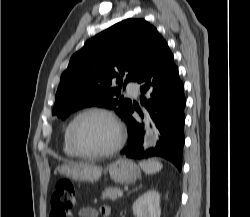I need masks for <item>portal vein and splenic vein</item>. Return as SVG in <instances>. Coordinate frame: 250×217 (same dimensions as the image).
<instances>
[{
    "label": "portal vein and splenic vein",
    "instance_id": "obj_1",
    "mask_svg": "<svg viewBox=\"0 0 250 217\" xmlns=\"http://www.w3.org/2000/svg\"><path fill=\"white\" fill-rule=\"evenodd\" d=\"M123 195V192L122 191H120L119 193H118V196H122Z\"/></svg>",
    "mask_w": 250,
    "mask_h": 217
}]
</instances>
